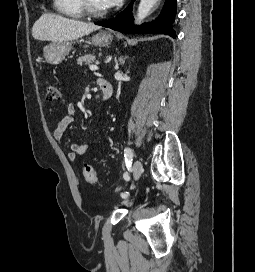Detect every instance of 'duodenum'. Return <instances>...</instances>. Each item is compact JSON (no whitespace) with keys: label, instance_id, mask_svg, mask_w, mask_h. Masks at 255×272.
I'll use <instances>...</instances> for the list:
<instances>
[{"label":"duodenum","instance_id":"410a0bca","mask_svg":"<svg viewBox=\"0 0 255 272\" xmlns=\"http://www.w3.org/2000/svg\"><path fill=\"white\" fill-rule=\"evenodd\" d=\"M98 85L102 93V99L108 100L113 95V87L111 83L105 78L98 79Z\"/></svg>","mask_w":255,"mask_h":272}]
</instances>
